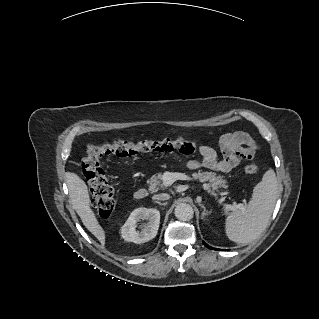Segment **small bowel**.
<instances>
[{
	"mask_svg": "<svg viewBox=\"0 0 319 319\" xmlns=\"http://www.w3.org/2000/svg\"><path fill=\"white\" fill-rule=\"evenodd\" d=\"M223 158L209 146L200 147V159H189L186 166L191 170L207 168L216 172L228 173L242 160L254 155L255 144L246 133L224 135L220 140Z\"/></svg>",
	"mask_w": 319,
	"mask_h": 319,
	"instance_id": "obj_1",
	"label": "small bowel"
}]
</instances>
